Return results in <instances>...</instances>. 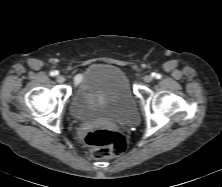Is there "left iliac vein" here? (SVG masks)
I'll return each mask as SVG.
<instances>
[{
  "instance_id": "4c4485c4",
  "label": "left iliac vein",
  "mask_w": 222,
  "mask_h": 187,
  "mask_svg": "<svg viewBox=\"0 0 222 187\" xmlns=\"http://www.w3.org/2000/svg\"><path fill=\"white\" fill-rule=\"evenodd\" d=\"M144 82L150 83L153 80V77L151 75H146L143 78Z\"/></svg>"
}]
</instances>
